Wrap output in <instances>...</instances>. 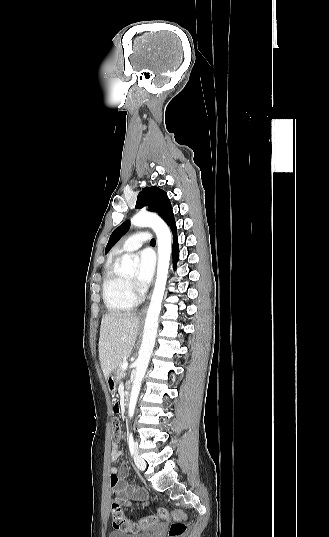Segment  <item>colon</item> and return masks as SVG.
I'll return each instance as SVG.
<instances>
[{"label": "colon", "mask_w": 329, "mask_h": 537, "mask_svg": "<svg viewBox=\"0 0 329 537\" xmlns=\"http://www.w3.org/2000/svg\"><path fill=\"white\" fill-rule=\"evenodd\" d=\"M122 437V429L120 422L115 418L112 422V438L115 441ZM111 514L113 517L112 526L118 533L127 535L138 532L144 528L156 524L159 520L170 522L168 535L169 537H184L188 530V525L185 521V513L181 510L168 511L159 509L156 515H150L139 520H128L124 516L123 506L119 501H112Z\"/></svg>", "instance_id": "5ec220e1"}]
</instances>
